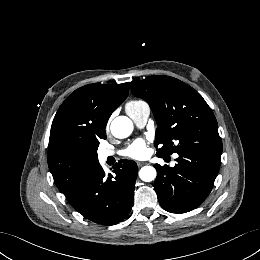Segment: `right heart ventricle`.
I'll return each mask as SVG.
<instances>
[{"mask_svg":"<svg viewBox=\"0 0 260 260\" xmlns=\"http://www.w3.org/2000/svg\"><path fill=\"white\" fill-rule=\"evenodd\" d=\"M145 102L144 101H141V100H133L131 102H129L126 106H139V105H142L144 104Z\"/></svg>","mask_w":260,"mask_h":260,"instance_id":"right-heart-ventricle-1","label":"right heart ventricle"}]
</instances>
